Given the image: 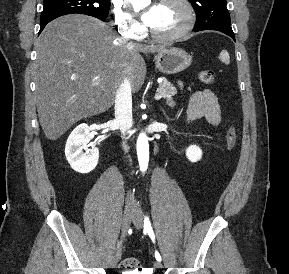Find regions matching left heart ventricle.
Here are the masks:
<instances>
[{
  "label": "left heart ventricle",
  "mask_w": 289,
  "mask_h": 274,
  "mask_svg": "<svg viewBox=\"0 0 289 274\" xmlns=\"http://www.w3.org/2000/svg\"><path fill=\"white\" fill-rule=\"evenodd\" d=\"M185 18V9L180 3L175 1L159 3L150 27L159 33H172L183 26Z\"/></svg>",
  "instance_id": "left-heart-ventricle-1"
}]
</instances>
